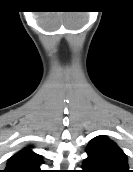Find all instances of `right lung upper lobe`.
<instances>
[{
    "label": "right lung upper lobe",
    "mask_w": 133,
    "mask_h": 172,
    "mask_svg": "<svg viewBox=\"0 0 133 172\" xmlns=\"http://www.w3.org/2000/svg\"><path fill=\"white\" fill-rule=\"evenodd\" d=\"M43 163L40 155L31 151L29 147L14 154L7 162L3 172H42L39 166Z\"/></svg>",
    "instance_id": "1"
}]
</instances>
